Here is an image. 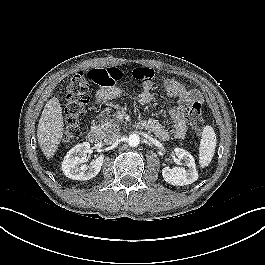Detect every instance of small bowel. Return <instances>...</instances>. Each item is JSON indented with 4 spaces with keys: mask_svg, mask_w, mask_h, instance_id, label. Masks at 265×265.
Listing matches in <instances>:
<instances>
[{
    "mask_svg": "<svg viewBox=\"0 0 265 265\" xmlns=\"http://www.w3.org/2000/svg\"><path fill=\"white\" fill-rule=\"evenodd\" d=\"M145 74L142 81V90L138 95V101L141 104H149L154 100L152 89L153 74L149 73L147 68H139ZM121 77V75H120ZM165 89L167 93L178 99L179 105L172 109L170 116L172 119L171 129L165 128L157 119L150 118L140 122V126L150 129L157 137L162 140L169 138L183 139L186 135L187 127L184 121V112L194 101L199 100L198 93L194 90L186 88L182 83L174 79H167L165 81ZM120 95V90L114 85L104 86L96 92V101L103 102Z\"/></svg>",
    "mask_w": 265,
    "mask_h": 265,
    "instance_id": "obj_1",
    "label": "small bowel"
}]
</instances>
